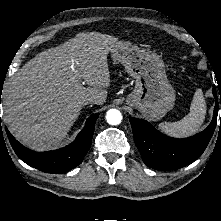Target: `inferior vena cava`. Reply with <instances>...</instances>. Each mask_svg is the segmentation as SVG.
Listing matches in <instances>:
<instances>
[{"mask_svg": "<svg viewBox=\"0 0 221 221\" xmlns=\"http://www.w3.org/2000/svg\"><path fill=\"white\" fill-rule=\"evenodd\" d=\"M83 103L86 105V104L96 103V101L92 98H88L85 99Z\"/></svg>", "mask_w": 221, "mask_h": 221, "instance_id": "obj_1", "label": "inferior vena cava"}]
</instances>
